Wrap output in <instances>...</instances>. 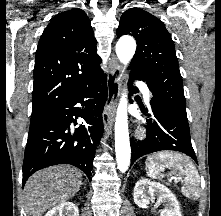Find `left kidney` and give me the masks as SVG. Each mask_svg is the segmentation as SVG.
I'll return each mask as SVG.
<instances>
[{"mask_svg":"<svg viewBox=\"0 0 221 216\" xmlns=\"http://www.w3.org/2000/svg\"><path fill=\"white\" fill-rule=\"evenodd\" d=\"M134 201L140 208H146L157 197V203H165L160 216H182L179 203L174 194L163 184L140 179L134 187Z\"/></svg>","mask_w":221,"mask_h":216,"instance_id":"5707ae66","label":"left kidney"}]
</instances>
